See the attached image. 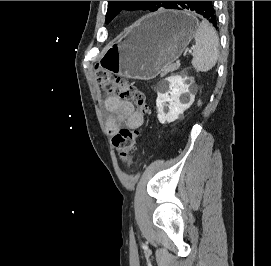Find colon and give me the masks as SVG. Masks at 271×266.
<instances>
[{
	"instance_id": "colon-1",
	"label": "colon",
	"mask_w": 271,
	"mask_h": 266,
	"mask_svg": "<svg viewBox=\"0 0 271 266\" xmlns=\"http://www.w3.org/2000/svg\"><path fill=\"white\" fill-rule=\"evenodd\" d=\"M95 77L106 93L133 103L143 114L148 112L145 94L135 85L102 68H96ZM138 138L139 132L129 128H121L113 136L112 144L123 162H127L130 154L136 149Z\"/></svg>"
}]
</instances>
